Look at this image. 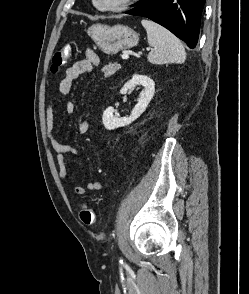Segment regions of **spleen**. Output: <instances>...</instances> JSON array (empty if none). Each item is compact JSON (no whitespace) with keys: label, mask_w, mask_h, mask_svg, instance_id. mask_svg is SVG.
<instances>
[{"label":"spleen","mask_w":249,"mask_h":294,"mask_svg":"<svg viewBox=\"0 0 249 294\" xmlns=\"http://www.w3.org/2000/svg\"><path fill=\"white\" fill-rule=\"evenodd\" d=\"M141 23L146 29L148 43L153 48L148 54L150 63H183L185 61V49L177 37L151 20L143 19Z\"/></svg>","instance_id":"3e777b00"}]
</instances>
